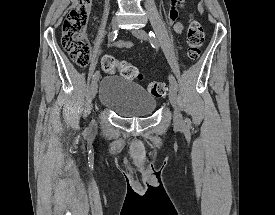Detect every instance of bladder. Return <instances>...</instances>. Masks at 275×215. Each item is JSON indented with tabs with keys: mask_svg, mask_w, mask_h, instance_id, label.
<instances>
[{
	"mask_svg": "<svg viewBox=\"0 0 275 215\" xmlns=\"http://www.w3.org/2000/svg\"><path fill=\"white\" fill-rule=\"evenodd\" d=\"M98 98L105 108L123 118L147 117L157 104L154 95L121 76L102 77Z\"/></svg>",
	"mask_w": 275,
	"mask_h": 215,
	"instance_id": "1",
	"label": "bladder"
}]
</instances>
